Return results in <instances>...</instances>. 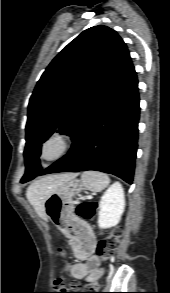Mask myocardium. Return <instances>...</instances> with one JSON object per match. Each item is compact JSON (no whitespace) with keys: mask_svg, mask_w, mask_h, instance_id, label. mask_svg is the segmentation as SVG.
I'll use <instances>...</instances> for the list:
<instances>
[{"mask_svg":"<svg viewBox=\"0 0 170 293\" xmlns=\"http://www.w3.org/2000/svg\"><path fill=\"white\" fill-rule=\"evenodd\" d=\"M72 146L70 136L63 131L50 134L40 145L39 158L46 162H53L65 156Z\"/></svg>","mask_w":170,"mask_h":293,"instance_id":"f54148a6","label":"myocardium"}]
</instances>
